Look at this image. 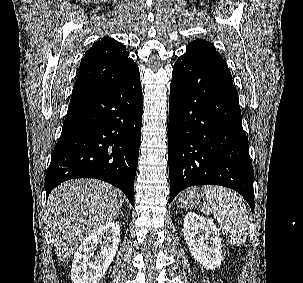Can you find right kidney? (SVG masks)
Returning <instances> with one entry per match:
<instances>
[{
  "mask_svg": "<svg viewBox=\"0 0 303 283\" xmlns=\"http://www.w3.org/2000/svg\"><path fill=\"white\" fill-rule=\"evenodd\" d=\"M119 242L117 222H110L89 235L75 253L71 269L73 283H99L116 255ZM99 244L101 250L94 255Z\"/></svg>",
  "mask_w": 303,
  "mask_h": 283,
  "instance_id": "ca27d5eb",
  "label": "right kidney"
}]
</instances>
